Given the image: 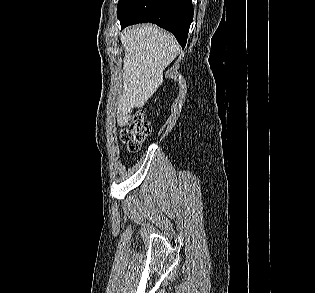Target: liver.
<instances>
[{
	"instance_id": "6515ba94",
	"label": "liver",
	"mask_w": 315,
	"mask_h": 293,
	"mask_svg": "<svg viewBox=\"0 0 315 293\" xmlns=\"http://www.w3.org/2000/svg\"><path fill=\"white\" fill-rule=\"evenodd\" d=\"M125 49L123 92L117 102V123L125 126L133 108H141L163 83V71L180 47L169 32L155 25L127 28L121 34Z\"/></svg>"
}]
</instances>
